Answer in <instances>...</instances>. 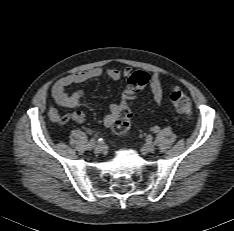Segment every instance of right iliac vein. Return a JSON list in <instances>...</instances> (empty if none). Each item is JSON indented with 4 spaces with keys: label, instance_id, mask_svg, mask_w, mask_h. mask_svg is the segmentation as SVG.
<instances>
[{
    "label": "right iliac vein",
    "instance_id": "right-iliac-vein-1",
    "mask_svg": "<svg viewBox=\"0 0 234 231\" xmlns=\"http://www.w3.org/2000/svg\"><path fill=\"white\" fill-rule=\"evenodd\" d=\"M105 145L104 144H98L96 146H94V152L96 153H101L105 150ZM89 150H91L92 148L88 147Z\"/></svg>",
    "mask_w": 234,
    "mask_h": 231
}]
</instances>
